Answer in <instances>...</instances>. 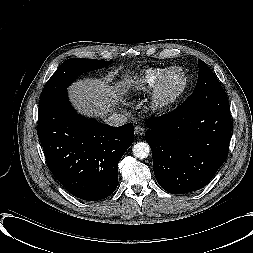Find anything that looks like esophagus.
<instances>
[{
    "instance_id": "34e87169",
    "label": "esophagus",
    "mask_w": 253,
    "mask_h": 253,
    "mask_svg": "<svg viewBox=\"0 0 253 253\" xmlns=\"http://www.w3.org/2000/svg\"><path fill=\"white\" fill-rule=\"evenodd\" d=\"M134 130H135V134H137L138 136H143L145 133V129L139 125L135 126Z\"/></svg>"
}]
</instances>
